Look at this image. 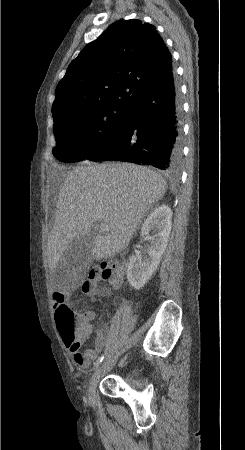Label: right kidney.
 Segmentation results:
<instances>
[{
  "label": "right kidney",
  "instance_id": "right-kidney-1",
  "mask_svg": "<svg viewBox=\"0 0 245 450\" xmlns=\"http://www.w3.org/2000/svg\"><path fill=\"white\" fill-rule=\"evenodd\" d=\"M171 218L170 207L163 204L156 207L144 221L141 228L142 236L149 237L151 231L154 235L150 237L152 242L147 251L148 256L142 259L141 255H135L129 260L127 279L134 289H141L158 268L168 244L172 226Z\"/></svg>",
  "mask_w": 245,
  "mask_h": 450
}]
</instances>
